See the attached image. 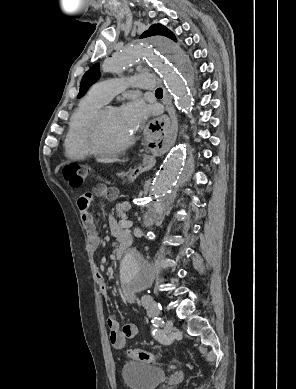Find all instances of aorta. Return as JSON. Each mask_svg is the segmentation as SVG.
I'll list each match as a JSON object with an SVG mask.
<instances>
[{"label": "aorta", "instance_id": "obj_1", "mask_svg": "<svg viewBox=\"0 0 296 389\" xmlns=\"http://www.w3.org/2000/svg\"><path fill=\"white\" fill-rule=\"evenodd\" d=\"M134 62L153 66L174 96L176 106L184 112L192 109L194 91L191 87L195 72L188 57L174 42L166 38H150L126 45L104 62L103 71L121 74ZM185 163V146L178 145L169 153L153 180L147 198V226H152L162 216L174 198L175 189L183 186L180 176ZM153 278V265L138 250H128L120 267L123 286L133 292L145 290L152 285Z\"/></svg>", "mask_w": 296, "mask_h": 389}]
</instances>
